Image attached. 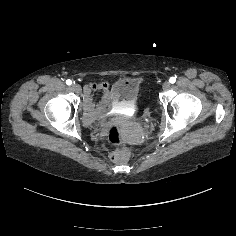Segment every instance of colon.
I'll return each mask as SVG.
<instances>
[{"mask_svg":"<svg viewBox=\"0 0 236 236\" xmlns=\"http://www.w3.org/2000/svg\"><path fill=\"white\" fill-rule=\"evenodd\" d=\"M108 141L116 146V150L112 153L111 159L117 164L125 163L130 156V150L126 146L122 137V126L119 123H113L107 130Z\"/></svg>","mask_w":236,"mask_h":236,"instance_id":"1","label":"colon"}]
</instances>
